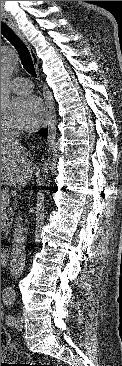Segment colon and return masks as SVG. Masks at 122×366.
Wrapping results in <instances>:
<instances>
[{
    "instance_id": "colon-1",
    "label": "colon",
    "mask_w": 122,
    "mask_h": 366,
    "mask_svg": "<svg viewBox=\"0 0 122 366\" xmlns=\"http://www.w3.org/2000/svg\"><path fill=\"white\" fill-rule=\"evenodd\" d=\"M1 359L15 360L16 359V351L11 346L9 342V337L5 330L1 327ZM13 366H35L29 363L25 364H13ZM37 366H57L54 364H44Z\"/></svg>"
}]
</instances>
